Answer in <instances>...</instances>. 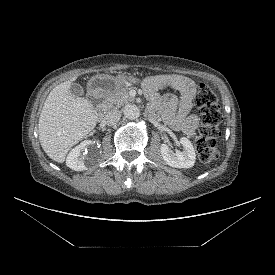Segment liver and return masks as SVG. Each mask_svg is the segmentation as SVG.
Masks as SVG:
<instances>
[{
  "mask_svg": "<svg viewBox=\"0 0 275 275\" xmlns=\"http://www.w3.org/2000/svg\"><path fill=\"white\" fill-rule=\"evenodd\" d=\"M76 78L73 76L49 93L39 117L41 146L58 163L65 161L68 151L92 131L98 121L92 103L69 91Z\"/></svg>",
  "mask_w": 275,
  "mask_h": 275,
  "instance_id": "6515ba94",
  "label": "liver"
}]
</instances>
